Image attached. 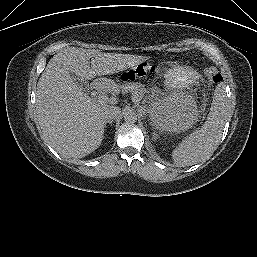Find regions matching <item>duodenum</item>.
I'll return each instance as SVG.
<instances>
[{
    "label": "duodenum",
    "mask_w": 257,
    "mask_h": 257,
    "mask_svg": "<svg viewBox=\"0 0 257 257\" xmlns=\"http://www.w3.org/2000/svg\"><path fill=\"white\" fill-rule=\"evenodd\" d=\"M99 87V84L98 83H93L92 84V89L95 90Z\"/></svg>",
    "instance_id": "duodenum-1"
}]
</instances>
